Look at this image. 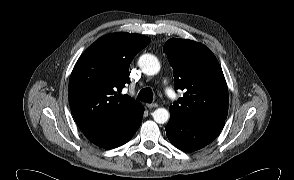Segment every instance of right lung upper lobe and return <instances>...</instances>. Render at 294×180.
<instances>
[{"label": "right lung upper lobe", "mask_w": 294, "mask_h": 180, "mask_svg": "<svg viewBox=\"0 0 294 180\" xmlns=\"http://www.w3.org/2000/svg\"><path fill=\"white\" fill-rule=\"evenodd\" d=\"M149 42L139 34H108L80 56L69 82V102L80 129L111 126L139 103L121 91L129 82L132 59Z\"/></svg>", "instance_id": "right-lung-upper-lobe-1"}]
</instances>
